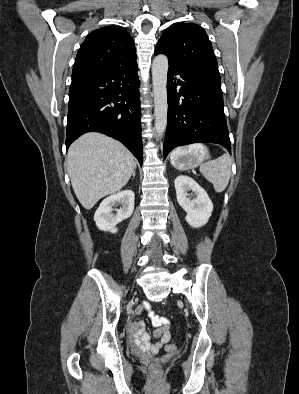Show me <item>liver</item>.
<instances>
[{"label":"liver","instance_id":"6515ba94","mask_svg":"<svg viewBox=\"0 0 299 394\" xmlns=\"http://www.w3.org/2000/svg\"><path fill=\"white\" fill-rule=\"evenodd\" d=\"M67 163L73 190L87 210L122 189L136 168L133 155L122 143L94 132L70 146Z\"/></svg>","mask_w":299,"mask_h":394}]
</instances>
